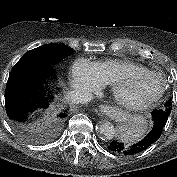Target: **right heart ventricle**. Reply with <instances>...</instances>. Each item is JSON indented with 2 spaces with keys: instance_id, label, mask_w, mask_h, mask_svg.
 <instances>
[{
  "instance_id": "right-heart-ventricle-1",
  "label": "right heart ventricle",
  "mask_w": 177,
  "mask_h": 177,
  "mask_svg": "<svg viewBox=\"0 0 177 177\" xmlns=\"http://www.w3.org/2000/svg\"><path fill=\"white\" fill-rule=\"evenodd\" d=\"M102 81L112 85L123 74L148 70L146 67L128 60L108 59L94 63Z\"/></svg>"
}]
</instances>
